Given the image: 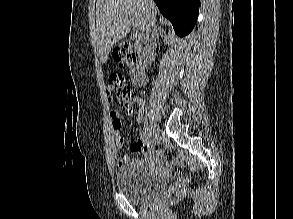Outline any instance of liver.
I'll return each instance as SVG.
<instances>
[{"label":"liver","instance_id":"obj_1","mask_svg":"<svg viewBox=\"0 0 293 219\" xmlns=\"http://www.w3.org/2000/svg\"><path fill=\"white\" fill-rule=\"evenodd\" d=\"M157 12L153 0H97L94 44L100 61L106 63L113 45L126 37L131 27L139 29L135 36L139 41L153 42Z\"/></svg>","mask_w":293,"mask_h":219}]
</instances>
